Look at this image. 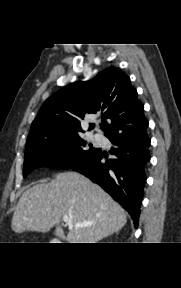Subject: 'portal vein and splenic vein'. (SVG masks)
Masks as SVG:
<instances>
[{
	"instance_id": "18ae733b",
	"label": "portal vein and splenic vein",
	"mask_w": 181,
	"mask_h": 288,
	"mask_svg": "<svg viewBox=\"0 0 181 288\" xmlns=\"http://www.w3.org/2000/svg\"><path fill=\"white\" fill-rule=\"evenodd\" d=\"M63 221L68 224L69 226H73V223L72 221L69 219L68 216H64L63 217ZM91 225L90 223H79V224H75L76 227H86V226H89Z\"/></svg>"
}]
</instances>
